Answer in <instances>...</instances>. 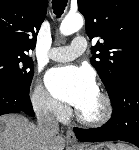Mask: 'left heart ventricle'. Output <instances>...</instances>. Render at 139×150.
I'll use <instances>...</instances> for the list:
<instances>
[{
    "label": "left heart ventricle",
    "instance_id": "obj_1",
    "mask_svg": "<svg viewBox=\"0 0 139 150\" xmlns=\"http://www.w3.org/2000/svg\"><path fill=\"white\" fill-rule=\"evenodd\" d=\"M80 113L86 117L94 118L97 117L102 112V103L99 96L97 95L86 105L78 109Z\"/></svg>",
    "mask_w": 139,
    "mask_h": 150
}]
</instances>
